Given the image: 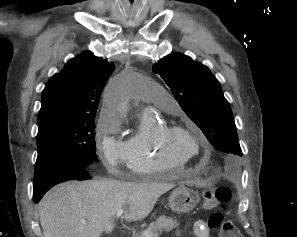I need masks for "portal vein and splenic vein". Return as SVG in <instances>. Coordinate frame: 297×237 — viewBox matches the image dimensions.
<instances>
[{
  "mask_svg": "<svg viewBox=\"0 0 297 237\" xmlns=\"http://www.w3.org/2000/svg\"><path fill=\"white\" fill-rule=\"evenodd\" d=\"M122 214H123V210L120 209V210L116 213L115 219L119 218ZM82 223H83V224H86V221H82ZM157 236H158L157 234L154 235V237H157ZM145 237H152V235L146 232V233H145Z\"/></svg>",
  "mask_w": 297,
  "mask_h": 237,
  "instance_id": "portal-vein-and-splenic-vein-1",
  "label": "portal vein and splenic vein"
}]
</instances>
